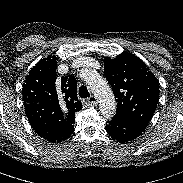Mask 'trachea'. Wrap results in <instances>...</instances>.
I'll return each mask as SVG.
<instances>
[{"label":"trachea","mask_w":183,"mask_h":183,"mask_svg":"<svg viewBox=\"0 0 183 183\" xmlns=\"http://www.w3.org/2000/svg\"><path fill=\"white\" fill-rule=\"evenodd\" d=\"M79 96L81 98L90 97V93H89L88 89L86 88V86L82 85V86L79 87Z\"/></svg>","instance_id":"1"}]
</instances>
